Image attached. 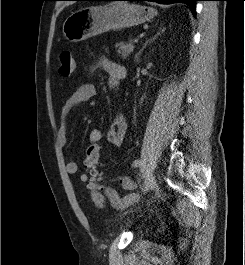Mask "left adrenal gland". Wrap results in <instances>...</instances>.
<instances>
[{"mask_svg":"<svg viewBox=\"0 0 245 265\" xmlns=\"http://www.w3.org/2000/svg\"><path fill=\"white\" fill-rule=\"evenodd\" d=\"M164 31H165V28L160 27V28H159V31L154 35V37H152L151 39L147 40V41L144 43L142 49H140V51L135 55V61H136L137 63H139L140 55H141L142 51L146 48V46L148 45V43L150 44V43H152L153 41H155V39H156L161 33H163Z\"/></svg>","mask_w":245,"mask_h":265,"instance_id":"1","label":"left adrenal gland"}]
</instances>
